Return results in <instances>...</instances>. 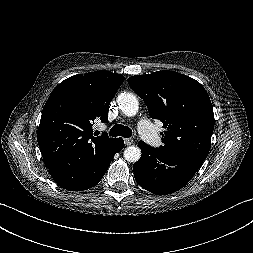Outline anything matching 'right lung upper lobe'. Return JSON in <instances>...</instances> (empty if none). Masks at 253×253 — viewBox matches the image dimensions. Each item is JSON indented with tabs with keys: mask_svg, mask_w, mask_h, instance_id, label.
I'll return each mask as SVG.
<instances>
[{
	"mask_svg": "<svg viewBox=\"0 0 253 253\" xmlns=\"http://www.w3.org/2000/svg\"><path fill=\"white\" fill-rule=\"evenodd\" d=\"M124 77L110 71L74 75L52 91L42 112L37 141L47 168L105 150L116 138L93 135L95 119L108 120L109 104Z\"/></svg>",
	"mask_w": 253,
	"mask_h": 253,
	"instance_id": "obj_1",
	"label": "right lung upper lobe"
}]
</instances>
